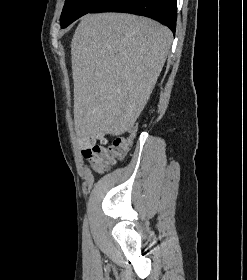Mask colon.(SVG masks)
Instances as JSON below:
<instances>
[{
    "mask_svg": "<svg viewBox=\"0 0 247 280\" xmlns=\"http://www.w3.org/2000/svg\"><path fill=\"white\" fill-rule=\"evenodd\" d=\"M129 133V138H116L108 146L96 145L91 149L85 157L96 171L106 170L115 160L124 156L134 136V126L130 127Z\"/></svg>",
    "mask_w": 247,
    "mask_h": 280,
    "instance_id": "colon-1",
    "label": "colon"
}]
</instances>
